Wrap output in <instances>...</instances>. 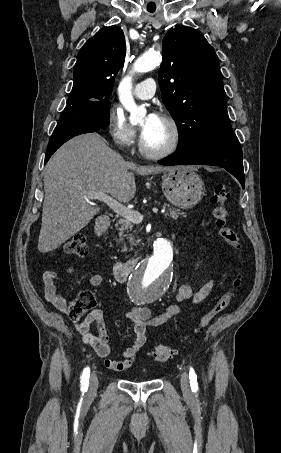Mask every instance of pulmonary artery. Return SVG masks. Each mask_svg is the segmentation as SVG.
Here are the masks:
<instances>
[{
  "label": "pulmonary artery",
  "instance_id": "1",
  "mask_svg": "<svg viewBox=\"0 0 281 453\" xmlns=\"http://www.w3.org/2000/svg\"><path fill=\"white\" fill-rule=\"evenodd\" d=\"M156 82L152 78H147L144 81L138 83L134 88V95L141 99H150L154 95V91L146 90L151 86H155Z\"/></svg>",
  "mask_w": 281,
  "mask_h": 453
}]
</instances>
